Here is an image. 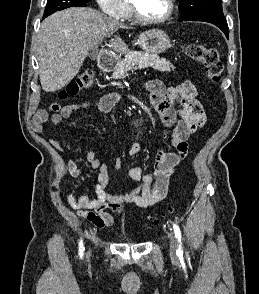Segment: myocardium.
<instances>
[{
	"label": "myocardium",
	"instance_id": "obj_1",
	"mask_svg": "<svg viewBox=\"0 0 259 294\" xmlns=\"http://www.w3.org/2000/svg\"><path fill=\"white\" fill-rule=\"evenodd\" d=\"M130 9L131 12L135 18L136 21L142 24H161L169 20L175 11V1L174 0H167V11L166 13L159 17V18H147L145 17L136 7V5L132 2V0H129Z\"/></svg>",
	"mask_w": 259,
	"mask_h": 294
}]
</instances>
